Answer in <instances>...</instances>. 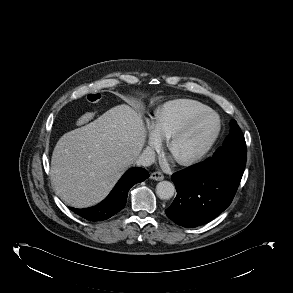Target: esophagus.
I'll use <instances>...</instances> for the list:
<instances>
[{"label":"esophagus","mask_w":293,"mask_h":293,"mask_svg":"<svg viewBox=\"0 0 293 293\" xmlns=\"http://www.w3.org/2000/svg\"><path fill=\"white\" fill-rule=\"evenodd\" d=\"M150 178L156 181H161L164 179V175L162 172L156 171L151 173Z\"/></svg>","instance_id":"obj_1"}]
</instances>
